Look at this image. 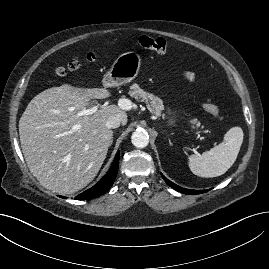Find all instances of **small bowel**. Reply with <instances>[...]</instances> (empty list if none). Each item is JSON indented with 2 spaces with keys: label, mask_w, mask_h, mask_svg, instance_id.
<instances>
[{
  "label": "small bowel",
  "mask_w": 269,
  "mask_h": 269,
  "mask_svg": "<svg viewBox=\"0 0 269 269\" xmlns=\"http://www.w3.org/2000/svg\"><path fill=\"white\" fill-rule=\"evenodd\" d=\"M183 77L188 81V82H194L195 81V75L192 72H185L183 74Z\"/></svg>",
  "instance_id": "1"
}]
</instances>
